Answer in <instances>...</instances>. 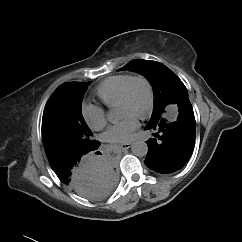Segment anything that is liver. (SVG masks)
Returning <instances> with one entry per match:
<instances>
[{
    "label": "liver",
    "mask_w": 242,
    "mask_h": 242,
    "mask_svg": "<svg viewBox=\"0 0 242 242\" xmlns=\"http://www.w3.org/2000/svg\"><path fill=\"white\" fill-rule=\"evenodd\" d=\"M103 188V182L93 178L92 180L85 183V186L82 187L80 190L76 191L79 195L85 196L91 195L96 196L100 193Z\"/></svg>",
    "instance_id": "obj_1"
}]
</instances>
